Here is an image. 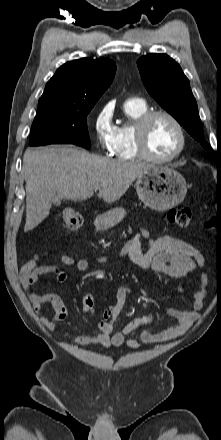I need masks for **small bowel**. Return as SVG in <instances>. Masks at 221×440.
<instances>
[{
    "label": "small bowel",
    "mask_w": 221,
    "mask_h": 440,
    "mask_svg": "<svg viewBox=\"0 0 221 440\" xmlns=\"http://www.w3.org/2000/svg\"><path fill=\"white\" fill-rule=\"evenodd\" d=\"M147 237L148 231L141 229L137 235L127 240L118 256L128 258L140 268L179 279L180 290H183L187 278L196 273L199 281L198 289L193 294L192 310L168 308V315L176 319L177 324L160 332L141 330L152 320L151 315H144L130 321L122 331L114 333V324L132 292L128 286L121 285L117 288L116 302L111 308L114 312L113 318H102L98 323L99 331L95 335H73L71 332H66L71 343L80 346L100 344L104 347L126 346L137 349L141 343H162L182 336L200 317L209 281L207 273L202 270V254L185 241L168 235L150 239L149 248L144 252L143 240ZM45 255V253H39L29 260L21 268L20 280L35 313L41 316L43 324L49 330L56 331L57 323L64 321L68 315L63 299L57 293L38 294L31 291L32 285L41 283L44 275H53L55 283H61L66 279V273L56 265L37 266L38 261ZM59 260L62 265L74 267L78 272H85L89 267V261L85 258L74 259L67 254H62ZM107 261L106 257L97 258L99 263ZM44 304H50L53 308L54 313L51 317L41 315ZM137 330H140L139 339L130 337V334Z\"/></svg>",
    "instance_id": "small-bowel-1"
}]
</instances>
